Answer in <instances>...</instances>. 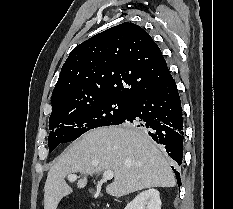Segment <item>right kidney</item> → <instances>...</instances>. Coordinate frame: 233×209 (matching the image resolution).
Masks as SVG:
<instances>
[{"label":"right kidney","mask_w":233,"mask_h":209,"mask_svg":"<svg viewBox=\"0 0 233 209\" xmlns=\"http://www.w3.org/2000/svg\"><path fill=\"white\" fill-rule=\"evenodd\" d=\"M125 209H161L159 191L149 189L141 192L132 200Z\"/></svg>","instance_id":"ca27d5eb"}]
</instances>
